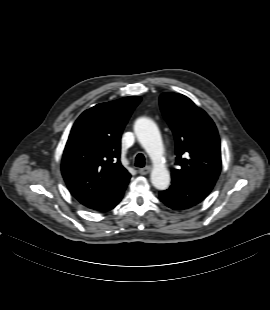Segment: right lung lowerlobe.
<instances>
[{
    "instance_id": "1",
    "label": "right lung lower lobe",
    "mask_w": 270,
    "mask_h": 310,
    "mask_svg": "<svg viewBox=\"0 0 270 310\" xmlns=\"http://www.w3.org/2000/svg\"><path fill=\"white\" fill-rule=\"evenodd\" d=\"M130 180L126 177L118 182L113 188L102 195L82 202L84 206L95 211L106 212L113 209L121 200L125 188Z\"/></svg>"
}]
</instances>
